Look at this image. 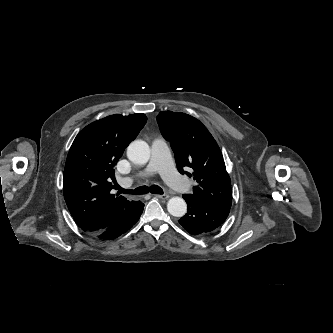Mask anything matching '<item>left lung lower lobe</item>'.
<instances>
[{
  "mask_svg": "<svg viewBox=\"0 0 333 333\" xmlns=\"http://www.w3.org/2000/svg\"><path fill=\"white\" fill-rule=\"evenodd\" d=\"M188 211L179 223L191 235L213 231L219 227L229 215L230 210L212 207L202 203L190 195H183Z\"/></svg>",
  "mask_w": 333,
  "mask_h": 333,
  "instance_id": "0a47b994",
  "label": "left lung lower lobe"
}]
</instances>
